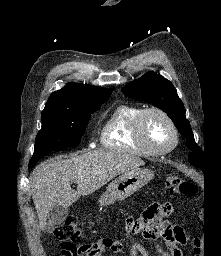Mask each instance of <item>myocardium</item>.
I'll use <instances>...</instances> for the list:
<instances>
[{
  "label": "myocardium",
  "mask_w": 221,
  "mask_h": 256,
  "mask_svg": "<svg viewBox=\"0 0 221 256\" xmlns=\"http://www.w3.org/2000/svg\"><path fill=\"white\" fill-rule=\"evenodd\" d=\"M149 114H158L161 117H163L166 122L169 124L172 133H173V142L171 143L170 146L163 148V149H158L153 147L146 139L144 135V122L146 117ZM134 136L135 139L137 140L138 143H140L144 148H146L151 154L154 155H165L171 152L172 150L175 149L179 142V132L177 129V126L174 122V120L170 117V115L165 112L164 110L158 108V107H149L146 109H143L139 115L136 118L135 122V127H134Z\"/></svg>",
  "instance_id": "1"
}]
</instances>
